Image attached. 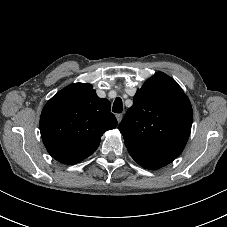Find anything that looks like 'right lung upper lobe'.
I'll list each match as a JSON object with an SVG mask.
<instances>
[{"label":"right lung upper lobe","mask_w":227,"mask_h":227,"mask_svg":"<svg viewBox=\"0 0 227 227\" xmlns=\"http://www.w3.org/2000/svg\"><path fill=\"white\" fill-rule=\"evenodd\" d=\"M110 102L91 84L76 83L51 98L42 110L40 132L49 154L64 164H76L99 146L101 136L117 126Z\"/></svg>","instance_id":"obj_1"}]
</instances>
